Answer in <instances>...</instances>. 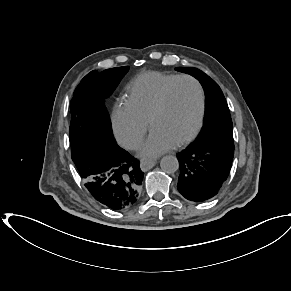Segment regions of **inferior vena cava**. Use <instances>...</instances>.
I'll return each instance as SVG.
<instances>
[{
    "instance_id": "602c4592",
    "label": "inferior vena cava",
    "mask_w": 291,
    "mask_h": 291,
    "mask_svg": "<svg viewBox=\"0 0 291 291\" xmlns=\"http://www.w3.org/2000/svg\"><path fill=\"white\" fill-rule=\"evenodd\" d=\"M139 141L138 140H134L132 142L129 143L128 147L131 149L137 148L139 146Z\"/></svg>"
}]
</instances>
